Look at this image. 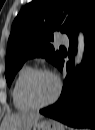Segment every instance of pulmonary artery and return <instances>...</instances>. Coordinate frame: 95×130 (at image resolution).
<instances>
[{"label":"pulmonary artery","mask_w":95,"mask_h":130,"mask_svg":"<svg viewBox=\"0 0 95 130\" xmlns=\"http://www.w3.org/2000/svg\"><path fill=\"white\" fill-rule=\"evenodd\" d=\"M56 41L62 44H68V38L66 35L59 33L56 37Z\"/></svg>","instance_id":"1"}]
</instances>
